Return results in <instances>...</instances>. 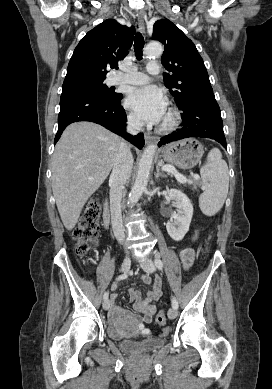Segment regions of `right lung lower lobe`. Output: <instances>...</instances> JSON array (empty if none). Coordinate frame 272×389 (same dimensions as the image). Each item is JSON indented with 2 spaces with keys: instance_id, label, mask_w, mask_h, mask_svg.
I'll return each instance as SVG.
<instances>
[{
  "instance_id": "98d812e1",
  "label": "right lung lower lobe",
  "mask_w": 272,
  "mask_h": 389,
  "mask_svg": "<svg viewBox=\"0 0 272 389\" xmlns=\"http://www.w3.org/2000/svg\"><path fill=\"white\" fill-rule=\"evenodd\" d=\"M121 98L109 100L86 92H65L61 94L58 131L54 144L59 140L63 130L77 121H91L104 126L122 136L136 147L144 146L142 133L132 136L126 133V114L121 106Z\"/></svg>"
}]
</instances>
